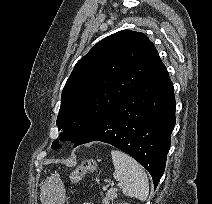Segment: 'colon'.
<instances>
[{
    "instance_id": "5ec220e1",
    "label": "colon",
    "mask_w": 212,
    "mask_h": 204,
    "mask_svg": "<svg viewBox=\"0 0 212 204\" xmlns=\"http://www.w3.org/2000/svg\"><path fill=\"white\" fill-rule=\"evenodd\" d=\"M96 170V162L92 159L84 160L72 173L70 179L78 183L85 174L93 173Z\"/></svg>"
}]
</instances>
